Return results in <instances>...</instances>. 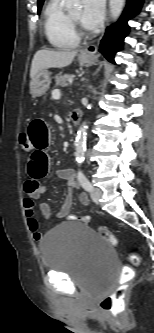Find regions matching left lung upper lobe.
Returning <instances> with one entry per match:
<instances>
[{"label":"left lung upper lobe","instance_id":"1","mask_svg":"<svg viewBox=\"0 0 154 333\" xmlns=\"http://www.w3.org/2000/svg\"><path fill=\"white\" fill-rule=\"evenodd\" d=\"M43 2L44 0H38V12L40 11Z\"/></svg>","mask_w":154,"mask_h":333}]
</instances>
